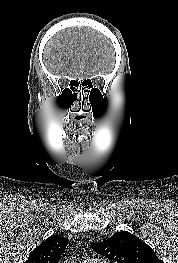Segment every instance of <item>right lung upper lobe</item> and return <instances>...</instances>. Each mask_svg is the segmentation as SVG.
Wrapping results in <instances>:
<instances>
[{
	"instance_id": "obj_1",
	"label": "right lung upper lobe",
	"mask_w": 178,
	"mask_h": 263,
	"mask_svg": "<svg viewBox=\"0 0 178 263\" xmlns=\"http://www.w3.org/2000/svg\"><path fill=\"white\" fill-rule=\"evenodd\" d=\"M67 244L66 238L51 236L30 253L25 263H58Z\"/></svg>"
}]
</instances>
